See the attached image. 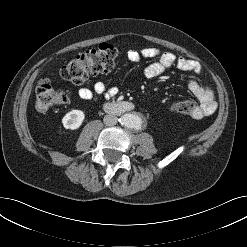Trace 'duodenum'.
<instances>
[{
	"instance_id": "obj_1",
	"label": "duodenum",
	"mask_w": 247,
	"mask_h": 247,
	"mask_svg": "<svg viewBox=\"0 0 247 247\" xmlns=\"http://www.w3.org/2000/svg\"><path fill=\"white\" fill-rule=\"evenodd\" d=\"M105 108L112 114L120 115L133 111L135 109V105L130 101L107 102L105 103Z\"/></svg>"
}]
</instances>
